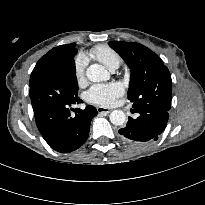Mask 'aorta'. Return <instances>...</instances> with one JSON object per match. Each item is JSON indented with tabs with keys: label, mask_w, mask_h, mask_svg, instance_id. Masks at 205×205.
<instances>
[{
	"label": "aorta",
	"mask_w": 205,
	"mask_h": 205,
	"mask_svg": "<svg viewBox=\"0 0 205 205\" xmlns=\"http://www.w3.org/2000/svg\"><path fill=\"white\" fill-rule=\"evenodd\" d=\"M87 78L92 82H102L109 79L110 74L100 64H92L86 70ZM110 121L113 125L120 126L126 121V115L122 110H114L110 114Z\"/></svg>",
	"instance_id": "762f6f07"
}]
</instances>
